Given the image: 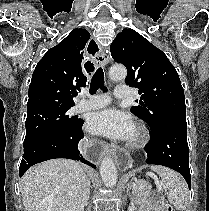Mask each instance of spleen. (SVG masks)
<instances>
[{
    "label": "spleen",
    "mask_w": 209,
    "mask_h": 211,
    "mask_svg": "<svg viewBox=\"0 0 209 211\" xmlns=\"http://www.w3.org/2000/svg\"><path fill=\"white\" fill-rule=\"evenodd\" d=\"M151 169L161 178L171 204L179 211L185 210L188 201V187L180 174L163 166H152Z\"/></svg>",
    "instance_id": "3e777b00"
}]
</instances>
